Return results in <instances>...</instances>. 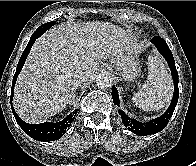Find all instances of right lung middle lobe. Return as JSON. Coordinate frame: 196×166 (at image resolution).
Here are the masks:
<instances>
[{
    "label": "right lung middle lobe",
    "instance_id": "obj_1",
    "mask_svg": "<svg viewBox=\"0 0 196 166\" xmlns=\"http://www.w3.org/2000/svg\"><path fill=\"white\" fill-rule=\"evenodd\" d=\"M55 25V21L47 22L46 24L41 25L38 29L34 32L35 35H42L47 29L51 28Z\"/></svg>",
    "mask_w": 196,
    "mask_h": 166
}]
</instances>
